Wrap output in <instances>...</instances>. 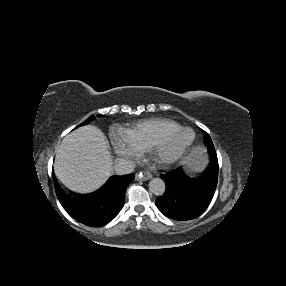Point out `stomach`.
I'll use <instances>...</instances> for the list:
<instances>
[{
    "label": "stomach",
    "instance_id": "obj_1",
    "mask_svg": "<svg viewBox=\"0 0 286 286\" xmlns=\"http://www.w3.org/2000/svg\"><path fill=\"white\" fill-rule=\"evenodd\" d=\"M189 167V173L200 171L206 164L204 152L200 148L194 149L191 154L183 161Z\"/></svg>",
    "mask_w": 286,
    "mask_h": 286
}]
</instances>
